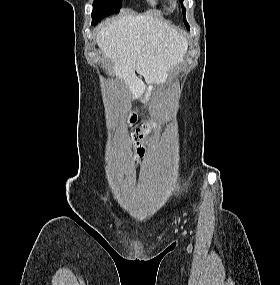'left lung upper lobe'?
<instances>
[{
  "label": "left lung upper lobe",
  "mask_w": 280,
  "mask_h": 285,
  "mask_svg": "<svg viewBox=\"0 0 280 285\" xmlns=\"http://www.w3.org/2000/svg\"><path fill=\"white\" fill-rule=\"evenodd\" d=\"M180 2H182L183 0H179ZM182 11H183V15H184V23L186 25V28L189 30L190 29V26L189 24L187 23L186 19H185V13H186V10L185 8L182 6Z\"/></svg>",
  "instance_id": "5c2ea615"
}]
</instances>
